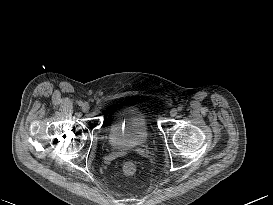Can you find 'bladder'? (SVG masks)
<instances>
[{"mask_svg": "<svg viewBox=\"0 0 273 205\" xmlns=\"http://www.w3.org/2000/svg\"><path fill=\"white\" fill-rule=\"evenodd\" d=\"M151 134L147 115L136 104H124L110 115L107 140L117 150H131L143 146Z\"/></svg>", "mask_w": 273, "mask_h": 205, "instance_id": "bladder-1", "label": "bladder"}]
</instances>
